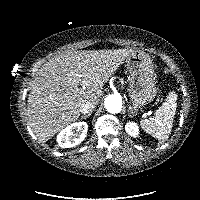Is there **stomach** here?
Returning <instances> with one entry per match:
<instances>
[{"instance_id":"obj_1","label":"stomach","mask_w":200,"mask_h":200,"mask_svg":"<svg viewBox=\"0 0 200 200\" xmlns=\"http://www.w3.org/2000/svg\"><path fill=\"white\" fill-rule=\"evenodd\" d=\"M125 63L129 73V97L135 105L144 106L156 96L152 59L143 51H134Z\"/></svg>"}]
</instances>
